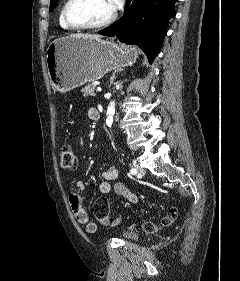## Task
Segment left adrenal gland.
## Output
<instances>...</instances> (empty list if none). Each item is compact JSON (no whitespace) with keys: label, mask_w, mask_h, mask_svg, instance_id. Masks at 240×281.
<instances>
[{"label":"left adrenal gland","mask_w":240,"mask_h":281,"mask_svg":"<svg viewBox=\"0 0 240 281\" xmlns=\"http://www.w3.org/2000/svg\"><path fill=\"white\" fill-rule=\"evenodd\" d=\"M121 71H123V70H122V69H118V70H115V71L113 72L112 76L110 77V85L113 83V81H114V79H115L116 73L121 72Z\"/></svg>","instance_id":"1"}]
</instances>
